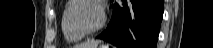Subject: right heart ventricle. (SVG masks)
Listing matches in <instances>:
<instances>
[{"mask_svg": "<svg viewBox=\"0 0 213 48\" xmlns=\"http://www.w3.org/2000/svg\"><path fill=\"white\" fill-rule=\"evenodd\" d=\"M69 4H70V1H68L66 3V5L64 6V8L62 9L61 31L67 42L75 43V42L80 41L82 39V37L79 36L78 34H76L75 32H73L68 25L66 14H67Z\"/></svg>", "mask_w": 213, "mask_h": 48, "instance_id": "right-heart-ventricle-1", "label": "right heart ventricle"}]
</instances>
